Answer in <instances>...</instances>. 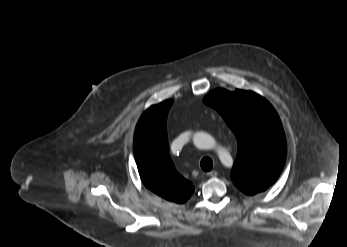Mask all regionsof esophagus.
I'll return each mask as SVG.
<instances>
[{
	"label": "esophagus",
	"mask_w": 347,
	"mask_h": 247,
	"mask_svg": "<svg viewBox=\"0 0 347 247\" xmlns=\"http://www.w3.org/2000/svg\"><path fill=\"white\" fill-rule=\"evenodd\" d=\"M217 175H218V173L215 170H212V171L207 173V176H209V177H216Z\"/></svg>",
	"instance_id": "34e87169"
}]
</instances>
